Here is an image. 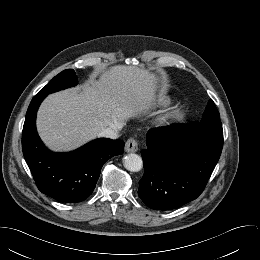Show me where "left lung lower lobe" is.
<instances>
[{
  "label": "left lung lower lobe",
  "mask_w": 260,
  "mask_h": 260,
  "mask_svg": "<svg viewBox=\"0 0 260 260\" xmlns=\"http://www.w3.org/2000/svg\"><path fill=\"white\" fill-rule=\"evenodd\" d=\"M138 195L154 210H171L204 190L223 147V131L190 124L148 131Z\"/></svg>",
  "instance_id": "1"
}]
</instances>
